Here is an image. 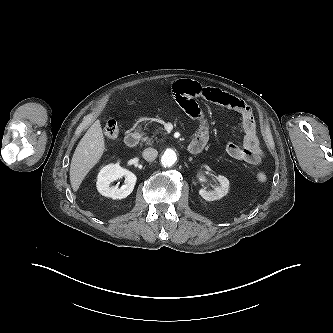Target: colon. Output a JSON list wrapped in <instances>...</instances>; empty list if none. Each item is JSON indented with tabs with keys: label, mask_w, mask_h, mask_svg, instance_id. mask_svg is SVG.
I'll use <instances>...</instances> for the list:
<instances>
[{
	"label": "colon",
	"mask_w": 333,
	"mask_h": 333,
	"mask_svg": "<svg viewBox=\"0 0 333 333\" xmlns=\"http://www.w3.org/2000/svg\"><path fill=\"white\" fill-rule=\"evenodd\" d=\"M104 134L110 138V139H115L119 135V126L118 123L115 119H108L105 123L104 126ZM256 179L260 183H264L267 181V176L263 172H259L256 175Z\"/></svg>",
	"instance_id": "colon-1"
}]
</instances>
